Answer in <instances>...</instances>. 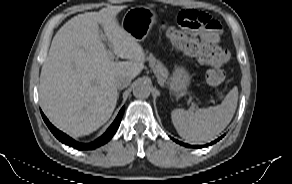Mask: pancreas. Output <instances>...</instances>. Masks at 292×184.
Instances as JSON below:
<instances>
[{"label": "pancreas", "mask_w": 292, "mask_h": 184, "mask_svg": "<svg viewBox=\"0 0 292 184\" xmlns=\"http://www.w3.org/2000/svg\"><path fill=\"white\" fill-rule=\"evenodd\" d=\"M148 60L150 62V67L158 78V81L161 84H164L169 76L167 68L160 61L156 60L153 55H149Z\"/></svg>", "instance_id": "1"}]
</instances>
